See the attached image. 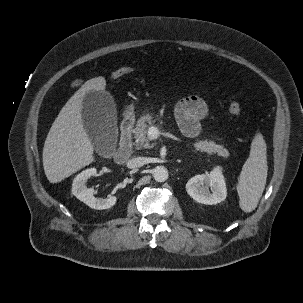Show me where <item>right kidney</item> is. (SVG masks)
<instances>
[{
	"label": "right kidney",
	"mask_w": 303,
	"mask_h": 303,
	"mask_svg": "<svg viewBox=\"0 0 303 303\" xmlns=\"http://www.w3.org/2000/svg\"><path fill=\"white\" fill-rule=\"evenodd\" d=\"M96 172L97 170L95 168H89L78 174L73 180L72 194L90 208L97 210L111 208L117 201L115 196H111L106 199L96 198L93 195L94 190L87 187L88 179L95 175Z\"/></svg>",
	"instance_id": "ca27d5eb"
}]
</instances>
